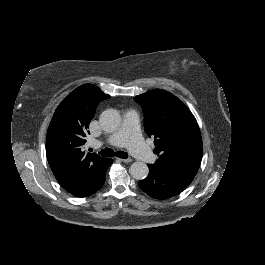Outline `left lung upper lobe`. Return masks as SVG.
I'll return each instance as SVG.
<instances>
[{
    "instance_id": "1",
    "label": "left lung upper lobe",
    "mask_w": 265,
    "mask_h": 265,
    "mask_svg": "<svg viewBox=\"0 0 265 265\" xmlns=\"http://www.w3.org/2000/svg\"><path fill=\"white\" fill-rule=\"evenodd\" d=\"M144 112V128L154 137L153 165L158 170L196 175L203 154L197 121L187 106L165 90L155 89L135 97Z\"/></svg>"
}]
</instances>
